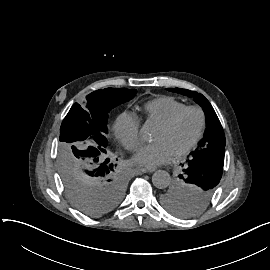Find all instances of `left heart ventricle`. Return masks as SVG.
Segmentation results:
<instances>
[{
  "mask_svg": "<svg viewBox=\"0 0 270 270\" xmlns=\"http://www.w3.org/2000/svg\"><path fill=\"white\" fill-rule=\"evenodd\" d=\"M198 124V115L193 111L188 112L172 129H166L160 125L155 133L154 141H167L177 152L192 141L197 132Z\"/></svg>",
  "mask_w": 270,
  "mask_h": 270,
  "instance_id": "b2bd125f",
  "label": "left heart ventricle"
}]
</instances>
